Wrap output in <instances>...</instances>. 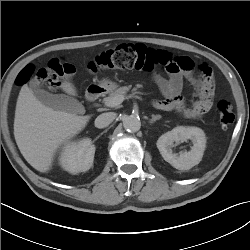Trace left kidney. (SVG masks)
Segmentation results:
<instances>
[{
    "instance_id": "1",
    "label": "left kidney",
    "mask_w": 250,
    "mask_h": 250,
    "mask_svg": "<svg viewBox=\"0 0 250 250\" xmlns=\"http://www.w3.org/2000/svg\"><path fill=\"white\" fill-rule=\"evenodd\" d=\"M192 140L193 146L188 152L180 154L173 153L174 142ZM157 148L160 154L174 168L179 170H189L202 160L206 147V137L202 129L198 127L178 126L162 134L157 140Z\"/></svg>"
}]
</instances>
